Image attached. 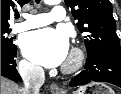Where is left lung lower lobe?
<instances>
[{
    "label": "left lung lower lobe",
    "instance_id": "left-lung-lower-lobe-1",
    "mask_svg": "<svg viewBox=\"0 0 121 94\" xmlns=\"http://www.w3.org/2000/svg\"><path fill=\"white\" fill-rule=\"evenodd\" d=\"M93 81L108 82L121 87V53L88 54L85 70L74 77L69 86L85 85Z\"/></svg>",
    "mask_w": 121,
    "mask_h": 94
}]
</instances>
